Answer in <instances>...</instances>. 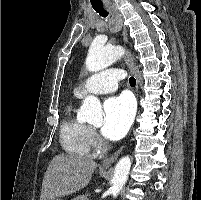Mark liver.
<instances>
[{
  "label": "liver",
  "instance_id": "liver-1",
  "mask_svg": "<svg viewBox=\"0 0 201 200\" xmlns=\"http://www.w3.org/2000/svg\"><path fill=\"white\" fill-rule=\"evenodd\" d=\"M97 163L89 158L59 154L50 162L42 182L40 200H54L84 188Z\"/></svg>",
  "mask_w": 201,
  "mask_h": 200
}]
</instances>
